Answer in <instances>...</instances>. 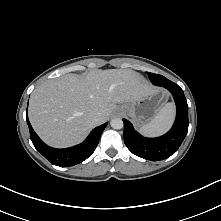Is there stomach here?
Here are the masks:
<instances>
[{
    "mask_svg": "<svg viewBox=\"0 0 221 221\" xmlns=\"http://www.w3.org/2000/svg\"><path fill=\"white\" fill-rule=\"evenodd\" d=\"M166 100V92L157 89L138 97L132 102L122 104L117 108V111L129 116L136 126L141 127L157 115Z\"/></svg>",
    "mask_w": 221,
    "mask_h": 221,
    "instance_id": "stomach-1",
    "label": "stomach"
}]
</instances>
